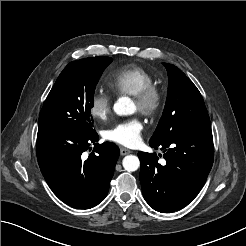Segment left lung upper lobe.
<instances>
[{"mask_svg":"<svg viewBox=\"0 0 246 246\" xmlns=\"http://www.w3.org/2000/svg\"><path fill=\"white\" fill-rule=\"evenodd\" d=\"M169 85L166 105L150 143L159 144L177 132L210 128L203 98L193 82L176 66L163 63Z\"/></svg>","mask_w":246,"mask_h":246,"instance_id":"1","label":"left lung upper lobe"}]
</instances>
